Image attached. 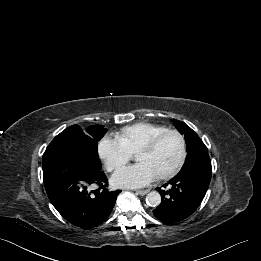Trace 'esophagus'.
Wrapping results in <instances>:
<instances>
[{
    "label": "esophagus",
    "instance_id": "esophagus-1",
    "mask_svg": "<svg viewBox=\"0 0 261 261\" xmlns=\"http://www.w3.org/2000/svg\"><path fill=\"white\" fill-rule=\"evenodd\" d=\"M149 192V190H138L136 193L139 195H146Z\"/></svg>",
    "mask_w": 261,
    "mask_h": 261
}]
</instances>
